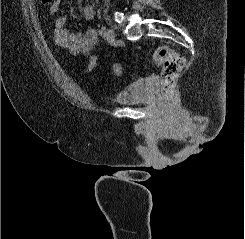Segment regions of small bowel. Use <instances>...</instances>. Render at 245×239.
Segmentation results:
<instances>
[{
	"label": "small bowel",
	"instance_id": "obj_1",
	"mask_svg": "<svg viewBox=\"0 0 245 239\" xmlns=\"http://www.w3.org/2000/svg\"><path fill=\"white\" fill-rule=\"evenodd\" d=\"M62 0H53L50 4V12L56 15ZM83 19L91 20L94 17V8L90 4H84L81 8ZM66 17L57 16L54 20V42L72 55L85 56L84 72L93 73L97 68V58L91 54L97 43V34L93 28H87L81 32H70L66 27Z\"/></svg>",
	"mask_w": 245,
	"mask_h": 239
}]
</instances>
